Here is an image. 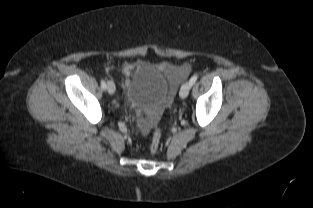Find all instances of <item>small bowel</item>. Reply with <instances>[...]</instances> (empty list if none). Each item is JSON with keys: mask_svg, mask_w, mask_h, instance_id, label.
Wrapping results in <instances>:
<instances>
[{"mask_svg": "<svg viewBox=\"0 0 313 208\" xmlns=\"http://www.w3.org/2000/svg\"><path fill=\"white\" fill-rule=\"evenodd\" d=\"M160 69L164 70L169 78L171 79L173 84L179 83V81L184 78L190 72V66L185 64L180 67H174L167 63H162L159 66ZM112 69L111 65H106L105 70L110 71ZM133 67L131 65H127L122 70V74L124 76V81L127 82L128 77L131 75Z\"/></svg>", "mask_w": 313, "mask_h": 208, "instance_id": "c3829d8e", "label": "small bowel"}]
</instances>
